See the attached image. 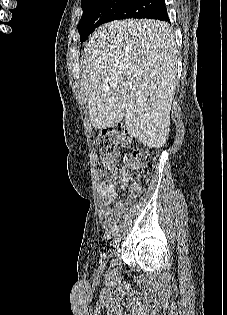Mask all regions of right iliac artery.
<instances>
[{"mask_svg": "<svg viewBox=\"0 0 227 315\" xmlns=\"http://www.w3.org/2000/svg\"><path fill=\"white\" fill-rule=\"evenodd\" d=\"M118 231H119V227H118L117 225H115V226L113 227V233H114V234H117Z\"/></svg>", "mask_w": 227, "mask_h": 315, "instance_id": "right-iliac-artery-1", "label": "right iliac artery"}]
</instances>
